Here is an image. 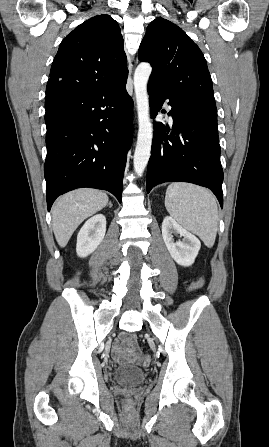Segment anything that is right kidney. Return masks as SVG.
Instances as JSON below:
<instances>
[{"instance_id": "right-kidney-1", "label": "right kidney", "mask_w": 269, "mask_h": 447, "mask_svg": "<svg viewBox=\"0 0 269 447\" xmlns=\"http://www.w3.org/2000/svg\"><path fill=\"white\" fill-rule=\"evenodd\" d=\"M106 231V218L103 214H96L90 220L82 225L76 243V251L79 257H86L92 251H95Z\"/></svg>"}]
</instances>
